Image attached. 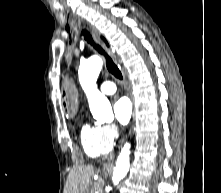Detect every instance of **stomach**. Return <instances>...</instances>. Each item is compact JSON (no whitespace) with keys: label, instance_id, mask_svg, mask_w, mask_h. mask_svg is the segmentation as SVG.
Wrapping results in <instances>:
<instances>
[{"label":"stomach","instance_id":"stomach-1","mask_svg":"<svg viewBox=\"0 0 221 193\" xmlns=\"http://www.w3.org/2000/svg\"><path fill=\"white\" fill-rule=\"evenodd\" d=\"M60 101V105L65 110L66 115H73L74 112H78V107L80 106L78 98H61ZM72 164H83V159H72Z\"/></svg>","mask_w":221,"mask_h":193}]
</instances>
